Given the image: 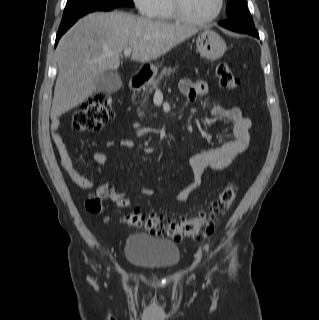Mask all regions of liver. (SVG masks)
Segmentation results:
<instances>
[{"mask_svg": "<svg viewBox=\"0 0 319 320\" xmlns=\"http://www.w3.org/2000/svg\"><path fill=\"white\" fill-rule=\"evenodd\" d=\"M198 29L153 21L114 11L79 19L60 39L56 49L58 77L50 117L57 119L94 92L106 71L117 70L120 56L132 48V61L156 60L197 33Z\"/></svg>", "mask_w": 319, "mask_h": 320, "instance_id": "6515ba94", "label": "liver"}]
</instances>
